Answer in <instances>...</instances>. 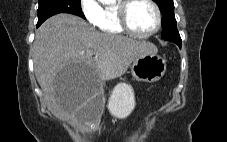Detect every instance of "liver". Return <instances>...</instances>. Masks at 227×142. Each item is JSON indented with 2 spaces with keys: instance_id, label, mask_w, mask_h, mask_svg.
Returning <instances> with one entry per match:
<instances>
[{
  "instance_id": "liver-1",
  "label": "liver",
  "mask_w": 227,
  "mask_h": 142,
  "mask_svg": "<svg viewBox=\"0 0 227 142\" xmlns=\"http://www.w3.org/2000/svg\"><path fill=\"white\" fill-rule=\"evenodd\" d=\"M157 51L150 42L100 33L78 16L57 14L36 31L34 71L48 108L76 124V113L99 93V82L121 77L136 58ZM67 61H84L75 68H86L93 78L63 88L64 81H55V76L57 68L68 67Z\"/></svg>"
}]
</instances>
